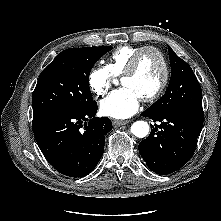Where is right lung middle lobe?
I'll return each instance as SVG.
<instances>
[{
    "instance_id": "1",
    "label": "right lung middle lobe",
    "mask_w": 221,
    "mask_h": 221,
    "mask_svg": "<svg viewBox=\"0 0 221 221\" xmlns=\"http://www.w3.org/2000/svg\"><path fill=\"white\" fill-rule=\"evenodd\" d=\"M112 47L70 48L58 54L41 72L32 96L33 115L55 109H83L92 105L89 73Z\"/></svg>"
}]
</instances>
